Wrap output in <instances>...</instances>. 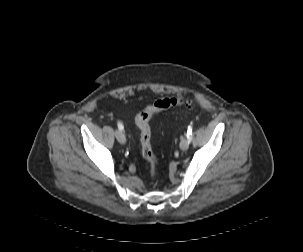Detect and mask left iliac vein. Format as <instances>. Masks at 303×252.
Masks as SVG:
<instances>
[{"mask_svg":"<svg viewBox=\"0 0 303 252\" xmlns=\"http://www.w3.org/2000/svg\"><path fill=\"white\" fill-rule=\"evenodd\" d=\"M190 141L188 138H184L180 142V149L186 151L189 148Z\"/></svg>","mask_w":303,"mask_h":252,"instance_id":"1","label":"left iliac vein"}]
</instances>
